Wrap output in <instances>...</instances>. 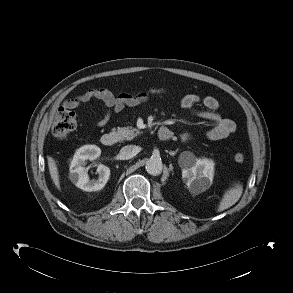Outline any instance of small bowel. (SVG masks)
I'll use <instances>...</instances> for the list:
<instances>
[{
    "mask_svg": "<svg viewBox=\"0 0 293 293\" xmlns=\"http://www.w3.org/2000/svg\"><path fill=\"white\" fill-rule=\"evenodd\" d=\"M92 99L101 101L106 109L104 115L97 121L99 127H104L113 113H119L125 107L137 106L147 102L149 94L146 92L134 95L122 93L116 96L106 88H89L81 94L64 100L63 106L66 109H76ZM199 104L203 106V109L195 108ZM180 106L184 110L193 112L213 124L212 128L206 133V137L210 140L227 138L236 130V125L232 120L220 116L218 113L219 102L212 96L201 97L196 94H187L181 98ZM181 139L188 141L191 136L188 133H184L181 135Z\"/></svg>",
    "mask_w": 293,
    "mask_h": 293,
    "instance_id": "small-bowel-1",
    "label": "small bowel"
}]
</instances>
